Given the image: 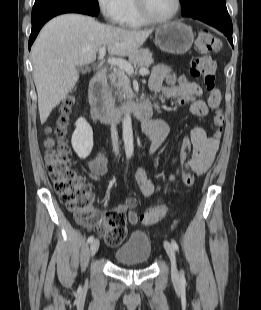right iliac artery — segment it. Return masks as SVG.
I'll list each match as a JSON object with an SVG mask.
<instances>
[{"instance_id":"obj_1","label":"right iliac artery","mask_w":261,"mask_h":310,"mask_svg":"<svg viewBox=\"0 0 261 310\" xmlns=\"http://www.w3.org/2000/svg\"><path fill=\"white\" fill-rule=\"evenodd\" d=\"M94 240V236H90L87 240L88 243H91Z\"/></svg>"}]
</instances>
